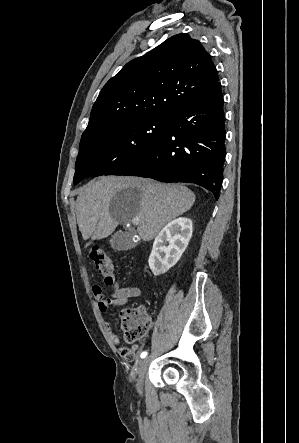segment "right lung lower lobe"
Returning <instances> with one entry per match:
<instances>
[{"instance_id": "obj_1", "label": "right lung lower lobe", "mask_w": 299, "mask_h": 443, "mask_svg": "<svg viewBox=\"0 0 299 443\" xmlns=\"http://www.w3.org/2000/svg\"><path fill=\"white\" fill-rule=\"evenodd\" d=\"M223 104L218 81L204 95L168 115L166 137L148 154L114 175L195 183L218 199L225 158Z\"/></svg>"}]
</instances>
